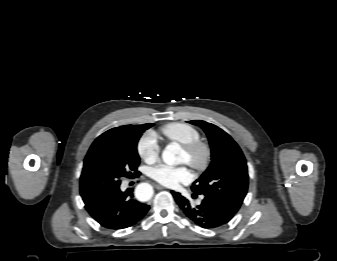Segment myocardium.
Returning <instances> with one entry per match:
<instances>
[{"label":"myocardium","mask_w":337,"mask_h":261,"mask_svg":"<svg viewBox=\"0 0 337 261\" xmlns=\"http://www.w3.org/2000/svg\"><path fill=\"white\" fill-rule=\"evenodd\" d=\"M183 150L188 155L187 164L194 170L203 172L212 162L213 152L211 146L202 140H196L183 145Z\"/></svg>","instance_id":"1"}]
</instances>
